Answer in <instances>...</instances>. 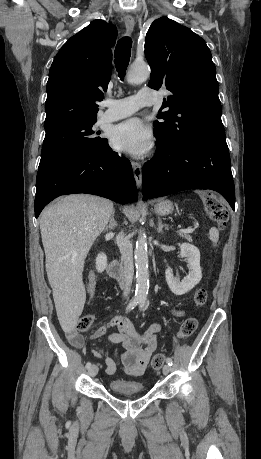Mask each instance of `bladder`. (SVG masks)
<instances>
[{"label":"bladder","instance_id":"obj_1","mask_svg":"<svg viewBox=\"0 0 261 459\" xmlns=\"http://www.w3.org/2000/svg\"><path fill=\"white\" fill-rule=\"evenodd\" d=\"M109 389L116 394H138L145 390L144 384L135 380L117 379L109 382Z\"/></svg>","mask_w":261,"mask_h":459}]
</instances>
